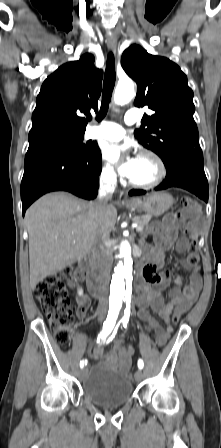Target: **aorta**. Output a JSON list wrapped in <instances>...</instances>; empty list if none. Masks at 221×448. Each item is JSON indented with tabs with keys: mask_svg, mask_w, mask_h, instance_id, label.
Wrapping results in <instances>:
<instances>
[{
	"mask_svg": "<svg viewBox=\"0 0 221 448\" xmlns=\"http://www.w3.org/2000/svg\"><path fill=\"white\" fill-rule=\"evenodd\" d=\"M134 95L135 87L132 81L119 83L115 89L114 100L118 105H124L131 101ZM119 251L123 261L119 262L115 268L111 282V309L116 315L123 306L133 272V255L130 243L123 240L119 245Z\"/></svg>",
	"mask_w": 221,
	"mask_h": 448,
	"instance_id": "1",
	"label": "aorta"
}]
</instances>
